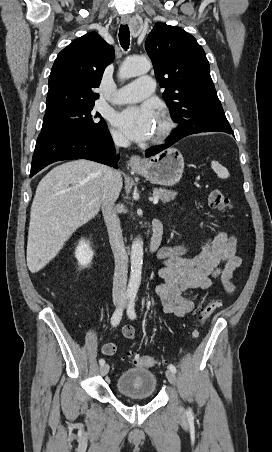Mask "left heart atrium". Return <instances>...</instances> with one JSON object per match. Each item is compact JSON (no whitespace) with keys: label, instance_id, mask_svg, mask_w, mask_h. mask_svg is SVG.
Returning a JSON list of instances; mask_svg holds the SVG:
<instances>
[{"label":"left heart atrium","instance_id":"1","mask_svg":"<svg viewBox=\"0 0 272 452\" xmlns=\"http://www.w3.org/2000/svg\"><path fill=\"white\" fill-rule=\"evenodd\" d=\"M157 115L150 104L142 106H130L119 112L115 117V123L135 141L149 139L155 129Z\"/></svg>","mask_w":272,"mask_h":452}]
</instances>
